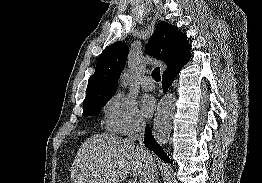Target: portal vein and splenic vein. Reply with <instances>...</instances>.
Wrapping results in <instances>:
<instances>
[{
  "instance_id": "18ae733b",
  "label": "portal vein and splenic vein",
  "mask_w": 262,
  "mask_h": 183,
  "mask_svg": "<svg viewBox=\"0 0 262 183\" xmlns=\"http://www.w3.org/2000/svg\"><path fill=\"white\" fill-rule=\"evenodd\" d=\"M129 183H137V180H136V179H131V180L129 181Z\"/></svg>"
}]
</instances>
